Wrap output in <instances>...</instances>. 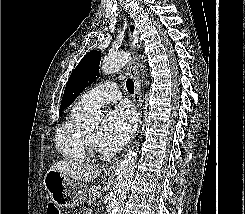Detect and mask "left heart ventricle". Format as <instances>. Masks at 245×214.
<instances>
[{
	"label": "left heart ventricle",
	"instance_id": "obj_1",
	"mask_svg": "<svg viewBox=\"0 0 245 214\" xmlns=\"http://www.w3.org/2000/svg\"><path fill=\"white\" fill-rule=\"evenodd\" d=\"M86 131L90 137V139L96 144H97V135L99 131V127L97 125H92V126H86Z\"/></svg>",
	"mask_w": 245,
	"mask_h": 214
}]
</instances>
